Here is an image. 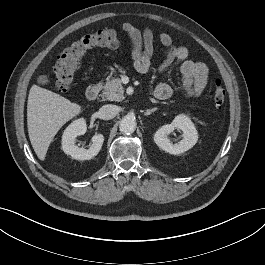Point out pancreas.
Returning <instances> with one entry per match:
<instances>
[{
  "mask_svg": "<svg viewBox=\"0 0 265 265\" xmlns=\"http://www.w3.org/2000/svg\"><path fill=\"white\" fill-rule=\"evenodd\" d=\"M103 88L104 90L102 93V97L104 99L116 102L124 100V90L122 82L119 78H113L112 80H108L103 86Z\"/></svg>",
  "mask_w": 265,
  "mask_h": 265,
  "instance_id": "cf45deb5",
  "label": "pancreas"
}]
</instances>
